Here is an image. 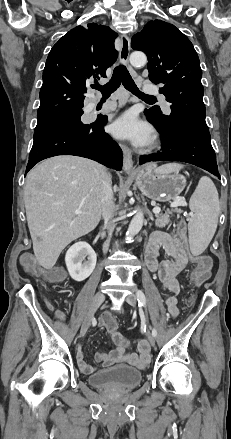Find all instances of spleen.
<instances>
[{
    "label": "spleen",
    "instance_id": "spleen-1",
    "mask_svg": "<svg viewBox=\"0 0 231 439\" xmlns=\"http://www.w3.org/2000/svg\"><path fill=\"white\" fill-rule=\"evenodd\" d=\"M182 165L171 163L159 167V171L178 172ZM194 216L188 223L189 243L193 255H200L212 240L219 217V197L212 180L203 176L189 201Z\"/></svg>",
    "mask_w": 231,
    "mask_h": 439
}]
</instances>
